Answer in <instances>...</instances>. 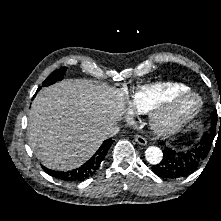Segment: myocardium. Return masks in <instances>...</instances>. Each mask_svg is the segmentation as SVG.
I'll use <instances>...</instances> for the list:
<instances>
[{
	"label": "myocardium",
	"mask_w": 221,
	"mask_h": 221,
	"mask_svg": "<svg viewBox=\"0 0 221 221\" xmlns=\"http://www.w3.org/2000/svg\"><path fill=\"white\" fill-rule=\"evenodd\" d=\"M202 107V98L195 93L163 99L149 112V125L158 135H174L189 125Z\"/></svg>",
	"instance_id": "myocardium-1"
}]
</instances>
